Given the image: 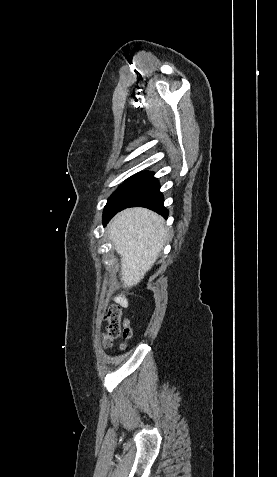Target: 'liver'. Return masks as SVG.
I'll list each match as a JSON object with an SVG mask.
<instances>
[{
    "label": "liver",
    "instance_id": "liver-1",
    "mask_svg": "<svg viewBox=\"0 0 277 477\" xmlns=\"http://www.w3.org/2000/svg\"><path fill=\"white\" fill-rule=\"evenodd\" d=\"M107 233L121 257L120 279L124 289L137 285L161 253L168 233L164 219L146 208H129L109 223ZM128 307L124 293L114 297Z\"/></svg>",
    "mask_w": 277,
    "mask_h": 477
}]
</instances>
